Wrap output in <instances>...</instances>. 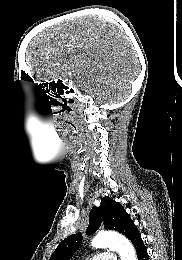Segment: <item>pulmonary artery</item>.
Here are the masks:
<instances>
[{"mask_svg":"<svg viewBox=\"0 0 182 260\" xmlns=\"http://www.w3.org/2000/svg\"><path fill=\"white\" fill-rule=\"evenodd\" d=\"M90 260H116V257L111 252H102L93 256Z\"/></svg>","mask_w":182,"mask_h":260,"instance_id":"1","label":"pulmonary artery"}]
</instances>
